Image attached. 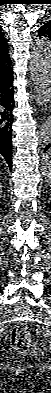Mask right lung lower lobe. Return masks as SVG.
Wrapping results in <instances>:
<instances>
[{
    "label": "right lung lower lobe",
    "instance_id": "obj_1",
    "mask_svg": "<svg viewBox=\"0 0 51 393\" xmlns=\"http://www.w3.org/2000/svg\"><path fill=\"white\" fill-rule=\"evenodd\" d=\"M12 69L5 75L0 76V155L7 161L12 170V123L14 121Z\"/></svg>",
    "mask_w": 51,
    "mask_h": 393
}]
</instances>
